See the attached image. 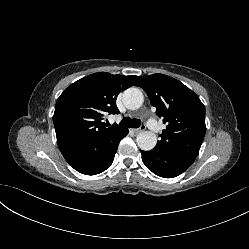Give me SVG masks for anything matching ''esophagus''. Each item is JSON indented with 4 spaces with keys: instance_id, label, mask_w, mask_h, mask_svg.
Wrapping results in <instances>:
<instances>
[{
    "instance_id": "obj_1",
    "label": "esophagus",
    "mask_w": 249,
    "mask_h": 249,
    "mask_svg": "<svg viewBox=\"0 0 249 249\" xmlns=\"http://www.w3.org/2000/svg\"><path fill=\"white\" fill-rule=\"evenodd\" d=\"M145 129H146V126H145V125H142L140 128L134 129L133 131H134L135 133H140V132L144 131Z\"/></svg>"
}]
</instances>
